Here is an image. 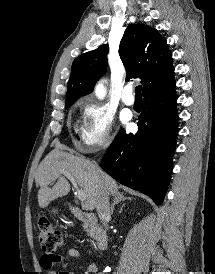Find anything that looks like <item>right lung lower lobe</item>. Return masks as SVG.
I'll use <instances>...</instances> for the list:
<instances>
[{
    "label": "right lung lower lobe",
    "mask_w": 215,
    "mask_h": 274,
    "mask_svg": "<svg viewBox=\"0 0 215 274\" xmlns=\"http://www.w3.org/2000/svg\"><path fill=\"white\" fill-rule=\"evenodd\" d=\"M175 83L144 96L136 134L121 130L101 168L121 184L161 204L172 171L177 126Z\"/></svg>",
    "instance_id": "right-lung-lower-lobe-1"
}]
</instances>
